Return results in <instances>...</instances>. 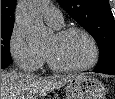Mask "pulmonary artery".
I'll return each instance as SVG.
<instances>
[{
	"label": "pulmonary artery",
	"mask_w": 115,
	"mask_h": 99,
	"mask_svg": "<svg viewBox=\"0 0 115 99\" xmlns=\"http://www.w3.org/2000/svg\"><path fill=\"white\" fill-rule=\"evenodd\" d=\"M44 19L55 28H60L63 23L62 13L54 6H48L44 9Z\"/></svg>",
	"instance_id": "1"
}]
</instances>
